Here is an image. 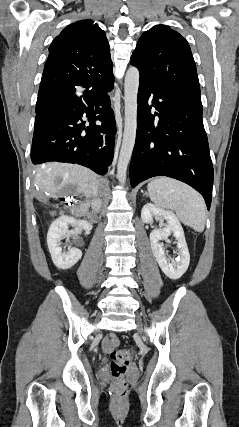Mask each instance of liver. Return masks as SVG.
<instances>
[{
  "mask_svg": "<svg viewBox=\"0 0 239 427\" xmlns=\"http://www.w3.org/2000/svg\"><path fill=\"white\" fill-rule=\"evenodd\" d=\"M99 179L90 169L71 164L47 163L37 167L35 184L38 186L39 199L47 196L59 198L64 195V188L75 186V196L82 194L86 201L78 206V215H85L90 205L99 211L97 196Z\"/></svg>",
  "mask_w": 239,
  "mask_h": 427,
  "instance_id": "liver-1",
  "label": "liver"
}]
</instances>
